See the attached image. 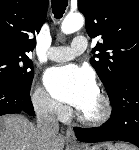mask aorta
<instances>
[{"mask_svg": "<svg viewBox=\"0 0 139 150\" xmlns=\"http://www.w3.org/2000/svg\"><path fill=\"white\" fill-rule=\"evenodd\" d=\"M84 25V17L80 13L68 14L62 24L61 31L64 34H71L76 32Z\"/></svg>", "mask_w": 139, "mask_h": 150, "instance_id": "aorta-1", "label": "aorta"}]
</instances>
